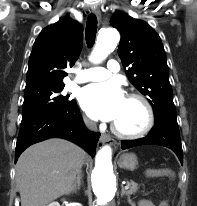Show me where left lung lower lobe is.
I'll use <instances>...</instances> for the list:
<instances>
[{
  "label": "left lung lower lobe",
  "instance_id": "0a47b994",
  "mask_svg": "<svg viewBox=\"0 0 197 206\" xmlns=\"http://www.w3.org/2000/svg\"><path fill=\"white\" fill-rule=\"evenodd\" d=\"M141 145H160L170 148L183 164V151L177 122L161 120L155 122L150 133L136 140H121V148L129 149Z\"/></svg>",
  "mask_w": 197,
  "mask_h": 206
}]
</instances>
